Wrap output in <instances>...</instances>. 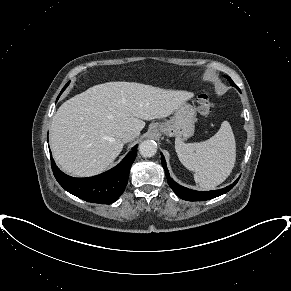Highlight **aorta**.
<instances>
[{"label":"aorta","mask_w":291,"mask_h":291,"mask_svg":"<svg viewBox=\"0 0 291 291\" xmlns=\"http://www.w3.org/2000/svg\"><path fill=\"white\" fill-rule=\"evenodd\" d=\"M139 152L143 157H152L157 152V144L153 140H145L139 146Z\"/></svg>","instance_id":"aorta-1"}]
</instances>
